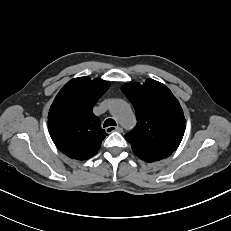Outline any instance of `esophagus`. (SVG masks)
<instances>
[{
	"mask_svg": "<svg viewBox=\"0 0 231 231\" xmlns=\"http://www.w3.org/2000/svg\"><path fill=\"white\" fill-rule=\"evenodd\" d=\"M114 131L122 132L123 129H122L121 127H119V126H117V127L109 126V127L106 128V132H107V133H112V132H114Z\"/></svg>",
	"mask_w": 231,
	"mask_h": 231,
	"instance_id": "1",
	"label": "esophagus"
}]
</instances>
